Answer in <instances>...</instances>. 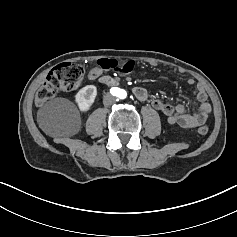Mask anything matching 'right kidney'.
<instances>
[{
    "label": "right kidney",
    "instance_id": "right-kidney-1",
    "mask_svg": "<svg viewBox=\"0 0 237 237\" xmlns=\"http://www.w3.org/2000/svg\"><path fill=\"white\" fill-rule=\"evenodd\" d=\"M97 95V88L94 85H87L79 90L75 96L80 111H88Z\"/></svg>",
    "mask_w": 237,
    "mask_h": 237
}]
</instances>
